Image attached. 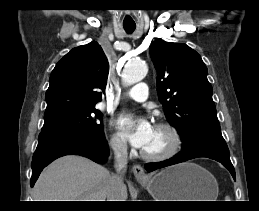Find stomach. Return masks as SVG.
Masks as SVG:
<instances>
[{
	"label": "stomach",
	"mask_w": 259,
	"mask_h": 211,
	"mask_svg": "<svg viewBox=\"0 0 259 211\" xmlns=\"http://www.w3.org/2000/svg\"><path fill=\"white\" fill-rule=\"evenodd\" d=\"M155 201H215L218 184L214 176L194 163H182L140 180Z\"/></svg>",
	"instance_id": "0dacf381"
}]
</instances>
